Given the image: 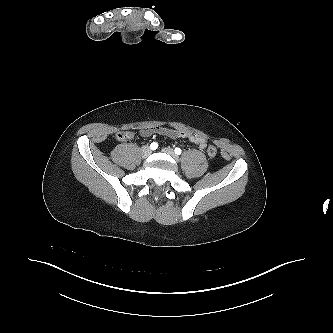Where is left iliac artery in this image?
<instances>
[{"label": "left iliac artery", "mask_w": 333, "mask_h": 333, "mask_svg": "<svg viewBox=\"0 0 333 333\" xmlns=\"http://www.w3.org/2000/svg\"><path fill=\"white\" fill-rule=\"evenodd\" d=\"M181 152H182V151H181V149H180V148H178V147H177V148H175V153H176L177 155H180V154H181Z\"/></svg>", "instance_id": "44dca946"}]
</instances>
